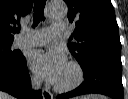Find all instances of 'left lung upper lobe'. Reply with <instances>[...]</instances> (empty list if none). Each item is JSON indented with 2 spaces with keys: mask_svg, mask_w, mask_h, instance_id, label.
I'll list each match as a JSON object with an SVG mask.
<instances>
[{
  "mask_svg": "<svg viewBox=\"0 0 128 99\" xmlns=\"http://www.w3.org/2000/svg\"><path fill=\"white\" fill-rule=\"evenodd\" d=\"M68 19L76 28L68 48L79 63L96 50L121 52L119 28L110 0H65Z\"/></svg>",
  "mask_w": 128,
  "mask_h": 99,
  "instance_id": "5c2ea615",
  "label": "left lung upper lobe"
}]
</instances>
